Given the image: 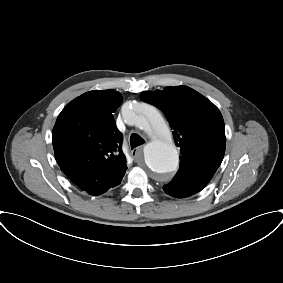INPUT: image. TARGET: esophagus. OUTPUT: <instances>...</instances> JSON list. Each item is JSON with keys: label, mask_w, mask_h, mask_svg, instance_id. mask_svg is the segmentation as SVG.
I'll use <instances>...</instances> for the list:
<instances>
[{"label": "esophagus", "mask_w": 283, "mask_h": 283, "mask_svg": "<svg viewBox=\"0 0 283 283\" xmlns=\"http://www.w3.org/2000/svg\"><path fill=\"white\" fill-rule=\"evenodd\" d=\"M142 153V146L137 147L131 151V156L136 160Z\"/></svg>", "instance_id": "1"}]
</instances>
